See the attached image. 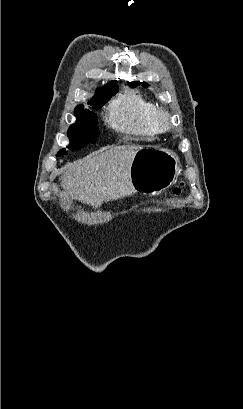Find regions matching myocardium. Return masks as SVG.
I'll list each match as a JSON object with an SVG mask.
<instances>
[{
	"mask_svg": "<svg viewBox=\"0 0 243 409\" xmlns=\"http://www.w3.org/2000/svg\"><path fill=\"white\" fill-rule=\"evenodd\" d=\"M155 123L159 132H165L172 128L171 115L165 109H158L155 114Z\"/></svg>",
	"mask_w": 243,
	"mask_h": 409,
	"instance_id": "1",
	"label": "myocardium"
}]
</instances>
